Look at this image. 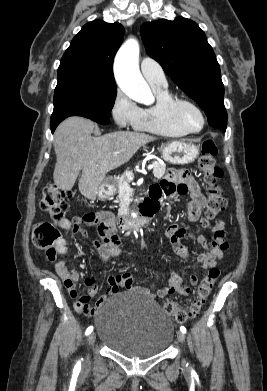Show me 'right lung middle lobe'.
I'll list each match as a JSON object with an SVG mask.
<instances>
[{"instance_id":"1","label":"right lung middle lobe","mask_w":267,"mask_h":391,"mask_svg":"<svg viewBox=\"0 0 267 391\" xmlns=\"http://www.w3.org/2000/svg\"><path fill=\"white\" fill-rule=\"evenodd\" d=\"M116 94L114 79L92 74L59 77L54 91L51 123L77 115L100 124H109Z\"/></svg>"}]
</instances>
